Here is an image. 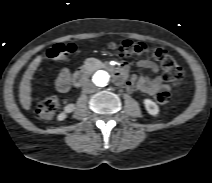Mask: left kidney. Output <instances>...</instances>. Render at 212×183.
I'll return each instance as SVG.
<instances>
[{"instance_id": "5707ae66", "label": "left kidney", "mask_w": 212, "mask_h": 183, "mask_svg": "<svg viewBox=\"0 0 212 183\" xmlns=\"http://www.w3.org/2000/svg\"><path fill=\"white\" fill-rule=\"evenodd\" d=\"M144 105H145V109L147 110V112L152 115V116H158L159 114V107L158 105L152 101L149 98L144 99Z\"/></svg>"}]
</instances>
